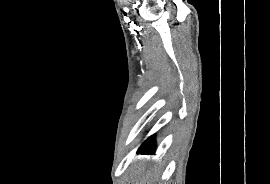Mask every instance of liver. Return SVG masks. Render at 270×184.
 <instances>
[{"label": "liver", "instance_id": "1", "mask_svg": "<svg viewBox=\"0 0 270 184\" xmlns=\"http://www.w3.org/2000/svg\"><path fill=\"white\" fill-rule=\"evenodd\" d=\"M157 171L151 174L149 170L145 168H139L136 172L135 178L137 179V184H150V181H156L158 179Z\"/></svg>", "mask_w": 270, "mask_h": 184}]
</instances>
